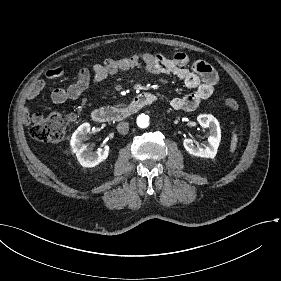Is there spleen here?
I'll list each match as a JSON object with an SVG mask.
<instances>
[{
	"mask_svg": "<svg viewBox=\"0 0 281 281\" xmlns=\"http://www.w3.org/2000/svg\"><path fill=\"white\" fill-rule=\"evenodd\" d=\"M238 141H239V136L236 130H234L232 132V136H231V140H230V155H234L236 150H237V146H238Z\"/></svg>",
	"mask_w": 281,
	"mask_h": 281,
	"instance_id": "1",
	"label": "spleen"
}]
</instances>
